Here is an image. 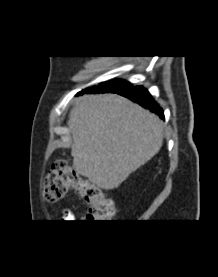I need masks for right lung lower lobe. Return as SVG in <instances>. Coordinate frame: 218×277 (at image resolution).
Returning <instances> with one entry per match:
<instances>
[{
  "mask_svg": "<svg viewBox=\"0 0 218 277\" xmlns=\"http://www.w3.org/2000/svg\"><path fill=\"white\" fill-rule=\"evenodd\" d=\"M84 92L105 93V92H102L100 84L97 87L91 88L90 90H83L82 92H80V94H83ZM108 92L117 93L126 98H129L132 101L141 105L142 107L149 109L151 112L156 113L157 115L160 116V118L164 119L163 111L161 110V108L154 101V99L151 97L149 92L141 86H136V87L130 86L124 89L108 91Z\"/></svg>",
  "mask_w": 218,
  "mask_h": 277,
  "instance_id": "obj_1",
  "label": "right lung lower lobe"
}]
</instances>
